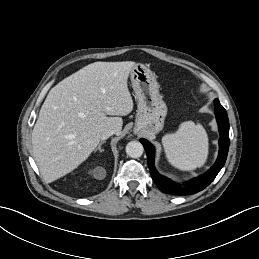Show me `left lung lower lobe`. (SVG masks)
Listing matches in <instances>:
<instances>
[{
  "instance_id": "obj_1",
  "label": "left lung lower lobe",
  "mask_w": 259,
  "mask_h": 259,
  "mask_svg": "<svg viewBox=\"0 0 259 259\" xmlns=\"http://www.w3.org/2000/svg\"><path fill=\"white\" fill-rule=\"evenodd\" d=\"M215 115L219 127V154L214 166L205 174L189 181L185 186H181L170 179L160 175L154 167V147L145 139H140L143 144L146 154L147 163L152 176V179L158 188L164 192L174 195H191L206 188L217 176L219 171L225 164L228 149H229V120L224 107L218 99L214 100Z\"/></svg>"
}]
</instances>
